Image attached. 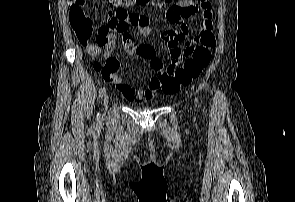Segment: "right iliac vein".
<instances>
[{"mask_svg":"<svg viewBox=\"0 0 295 202\" xmlns=\"http://www.w3.org/2000/svg\"><path fill=\"white\" fill-rule=\"evenodd\" d=\"M108 101H109V97H108V95L106 94V95L104 96V98H103V104H104V107H105V108H106L107 105H108Z\"/></svg>","mask_w":295,"mask_h":202,"instance_id":"obj_1","label":"right iliac vein"}]
</instances>
